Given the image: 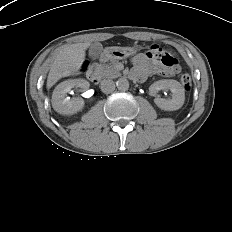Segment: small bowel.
<instances>
[{
  "label": "small bowel",
  "mask_w": 232,
  "mask_h": 232,
  "mask_svg": "<svg viewBox=\"0 0 232 232\" xmlns=\"http://www.w3.org/2000/svg\"><path fill=\"white\" fill-rule=\"evenodd\" d=\"M134 68L131 76L136 79L144 80L151 74H156L161 78L167 76L168 71L161 65L155 67L154 63L145 55L139 54L133 59Z\"/></svg>",
  "instance_id": "c3829d8e"
}]
</instances>
